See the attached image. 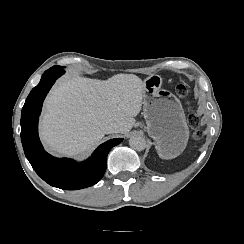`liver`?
Masks as SVG:
<instances>
[{"mask_svg": "<svg viewBox=\"0 0 244 244\" xmlns=\"http://www.w3.org/2000/svg\"><path fill=\"white\" fill-rule=\"evenodd\" d=\"M144 82L134 74L108 80L64 77L44 103L40 138L54 155L84 154L100 141L104 126L115 123L116 133H127L141 110Z\"/></svg>", "mask_w": 244, "mask_h": 244, "instance_id": "6515ba94", "label": "liver"}]
</instances>
